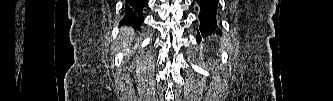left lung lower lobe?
<instances>
[{
  "mask_svg": "<svg viewBox=\"0 0 333 101\" xmlns=\"http://www.w3.org/2000/svg\"><path fill=\"white\" fill-rule=\"evenodd\" d=\"M201 8L199 14L200 28L197 31V42H200L202 37L216 33H221V30L217 28L216 12L218 0H195Z\"/></svg>",
  "mask_w": 333,
  "mask_h": 101,
  "instance_id": "1",
  "label": "left lung lower lobe"
}]
</instances>
